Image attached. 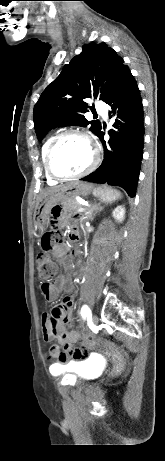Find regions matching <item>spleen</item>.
Returning a JSON list of instances; mask_svg holds the SVG:
<instances>
[{
	"instance_id": "3e777b00",
	"label": "spleen",
	"mask_w": 165,
	"mask_h": 461,
	"mask_svg": "<svg viewBox=\"0 0 165 461\" xmlns=\"http://www.w3.org/2000/svg\"><path fill=\"white\" fill-rule=\"evenodd\" d=\"M95 194L100 198L102 202L107 204L115 202L122 196L120 191L109 187L95 190Z\"/></svg>"
}]
</instances>
